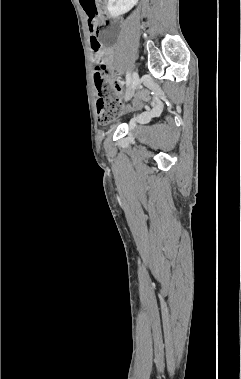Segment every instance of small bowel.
<instances>
[{"instance_id":"c3829d8e","label":"small bowel","mask_w":241,"mask_h":379,"mask_svg":"<svg viewBox=\"0 0 241 379\" xmlns=\"http://www.w3.org/2000/svg\"><path fill=\"white\" fill-rule=\"evenodd\" d=\"M108 68H109L110 72L113 71V69H112L111 66H109ZM108 81L112 84L114 90L117 93L121 92V83L119 81H114L112 79H108ZM147 99H148V93H147V91L143 90V91L138 92L137 95H136V97H135V100L133 101V103L131 105H129L127 107V110H133V109L141 107L142 101H145ZM161 106H162V104L159 103L158 107H161Z\"/></svg>"}]
</instances>
